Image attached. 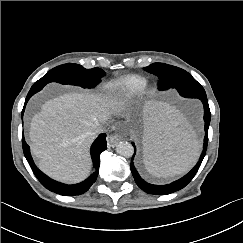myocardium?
<instances>
[{"label":"myocardium","mask_w":243,"mask_h":243,"mask_svg":"<svg viewBox=\"0 0 243 243\" xmlns=\"http://www.w3.org/2000/svg\"><path fill=\"white\" fill-rule=\"evenodd\" d=\"M146 93H147V94H152L153 91H152L151 89H148V90L146 91Z\"/></svg>","instance_id":"f54148a6"}]
</instances>
